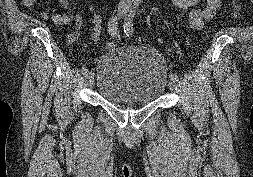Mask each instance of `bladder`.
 <instances>
[{"label": "bladder", "mask_w": 253, "mask_h": 177, "mask_svg": "<svg viewBox=\"0 0 253 177\" xmlns=\"http://www.w3.org/2000/svg\"><path fill=\"white\" fill-rule=\"evenodd\" d=\"M96 75V91L110 103L151 104L166 85L164 59L150 48L110 50L99 61Z\"/></svg>", "instance_id": "obj_1"}]
</instances>
